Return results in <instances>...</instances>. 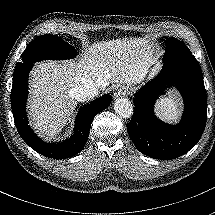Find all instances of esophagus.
I'll return each instance as SVG.
<instances>
[{
  "mask_svg": "<svg viewBox=\"0 0 215 215\" xmlns=\"http://www.w3.org/2000/svg\"><path fill=\"white\" fill-rule=\"evenodd\" d=\"M121 95L122 94H121V92L119 90L115 91V93H114L115 98L121 97Z\"/></svg>",
  "mask_w": 215,
  "mask_h": 215,
  "instance_id": "1",
  "label": "esophagus"
}]
</instances>
